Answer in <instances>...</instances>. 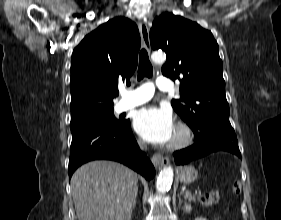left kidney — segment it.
Listing matches in <instances>:
<instances>
[{"mask_svg":"<svg viewBox=\"0 0 281 220\" xmlns=\"http://www.w3.org/2000/svg\"><path fill=\"white\" fill-rule=\"evenodd\" d=\"M195 220H207V219L203 218V217H197V218H195Z\"/></svg>","mask_w":281,"mask_h":220,"instance_id":"obj_1","label":"left kidney"}]
</instances>
